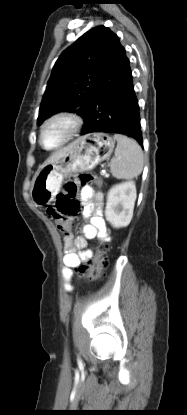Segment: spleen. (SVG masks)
I'll use <instances>...</instances> for the list:
<instances>
[{
    "mask_svg": "<svg viewBox=\"0 0 187 415\" xmlns=\"http://www.w3.org/2000/svg\"><path fill=\"white\" fill-rule=\"evenodd\" d=\"M114 139L117 141V147L109 164L112 175L117 179L139 176L144 165L143 152L139 144L120 134H115Z\"/></svg>",
    "mask_w": 187,
    "mask_h": 415,
    "instance_id": "1",
    "label": "spleen"
}]
</instances>
